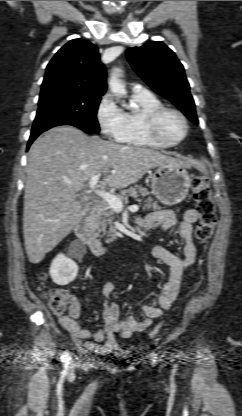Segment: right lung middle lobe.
<instances>
[{"mask_svg":"<svg viewBox=\"0 0 242 416\" xmlns=\"http://www.w3.org/2000/svg\"><path fill=\"white\" fill-rule=\"evenodd\" d=\"M101 96L56 92L42 95L32 127L33 131L63 123H72L87 133L100 131L96 118Z\"/></svg>","mask_w":242,"mask_h":416,"instance_id":"obj_1","label":"right lung middle lobe"}]
</instances>
